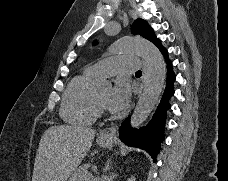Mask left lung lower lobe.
I'll return each mask as SVG.
<instances>
[{"label":"left lung lower lobe","instance_id":"0a47b994","mask_svg":"<svg viewBox=\"0 0 228 181\" xmlns=\"http://www.w3.org/2000/svg\"><path fill=\"white\" fill-rule=\"evenodd\" d=\"M164 54L168 64V75L166 88L161 98V101L153 115L152 120L146 127L135 130L130 126V117L126 118L119 128V137L128 146L137 147L146 150L155 161V158L160 150V143L164 139L163 128L166 119V111L170 108L169 99L174 94L173 82L175 75L172 71L171 63L167 57L165 48L160 41L154 43Z\"/></svg>","mask_w":228,"mask_h":181}]
</instances>
